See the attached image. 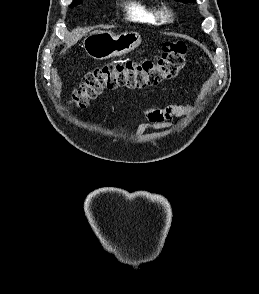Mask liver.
Returning a JSON list of instances; mask_svg holds the SVG:
<instances>
[{
    "label": "liver",
    "instance_id": "liver-1",
    "mask_svg": "<svg viewBox=\"0 0 259 294\" xmlns=\"http://www.w3.org/2000/svg\"><path fill=\"white\" fill-rule=\"evenodd\" d=\"M87 33L86 29H82V28H76L74 29L70 34L68 39L66 40V45L64 47V49L61 51V53H65V51L73 46L74 44H76L81 38L82 36H84Z\"/></svg>",
    "mask_w": 259,
    "mask_h": 294
}]
</instances>
